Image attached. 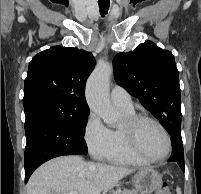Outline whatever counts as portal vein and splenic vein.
Masks as SVG:
<instances>
[{"label":"portal vein and splenic vein","instance_id":"obj_1","mask_svg":"<svg viewBox=\"0 0 201 194\" xmlns=\"http://www.w3.org/2000/svg\"><path fill=\"white\" fill-rule=\"evenodd\" d=\"M68 194H78L76 191H71Z\"/></svg>","mask_w":201,"mask_h":194}]
</instances>
